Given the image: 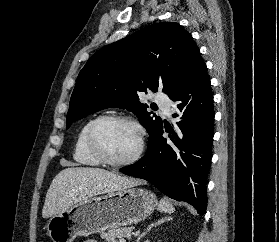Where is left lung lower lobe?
<instances>
[{
  "label": "left lung lower lobe",
  "instance_id": "obj_1",
  "mask_svg": "<svg viewBox=\"0 0 279 242\" xmlns=\"http://www.w3.org/2000/svg\"><path fill=\"white\" fill-rule=\"evenodd\" d=\"M176 102L179 121L162 137L161 125L149 142L147 153L123 167L126 175L145 179L165 195L206 213L207 177L212 158L214 107L207 68L198 51L179 87L169 96Z\"/></svg>",
  "mask_w": 279,
  "mask_h": 242
}]
</instances>
